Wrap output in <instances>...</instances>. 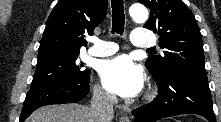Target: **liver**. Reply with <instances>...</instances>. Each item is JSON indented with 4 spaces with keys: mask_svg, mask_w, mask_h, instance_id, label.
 Returning a JSON list of instances; mask_svg holds the SVG:
<instances>
[{
    "mask_svg": "<svg viewBox=\"0 0 221 122\" xmlns=\"http://www.w3.org/2000/svg\"><path fill=\"white\" fill-rule=\"evenodd\" d=\"M26 122H93L91 108L80 104L43 106L35 110Z\"/></svg>",
    "mask_w": 221,
    "mask_h": 122,
    "instance_id": "1",
    "label": "liver"
}]
</instances>
